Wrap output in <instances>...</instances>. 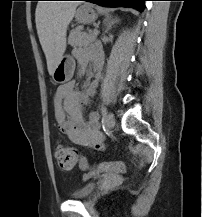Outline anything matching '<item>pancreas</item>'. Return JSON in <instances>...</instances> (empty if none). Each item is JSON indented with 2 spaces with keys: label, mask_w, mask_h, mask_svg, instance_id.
<instances>
[{
  "label": "pancreas",
  "mask_w": 202,
  "mask_h": 217,
  "mask_svg": "<svg viewBox=\"0 0 202 217\" xmlns=\"http://www.w3.org/2000/svg\"><path fill=\"white\" fill-rule=\"evenodd\" d=\"M96 39L94 33H85L80 27L73 29L70 32L68 43L72 46H87Z\"/></svg>",
  "instance_id": "1"
}]
</instances>
